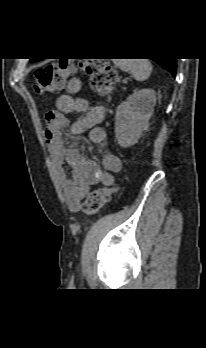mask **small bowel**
<instances>
[{
  "label": "small bowel",
  "instance_id": "small-bowel-1",
  "mask_svg": "<svg viewBox=\"0 0 206 348\" xmlns=\"http://www.w3.org/2000/svg\"><path fill=\"white\" fill-rule=\"evenodd\" d=\"M81 79H72L67 92L56 100V110L46 113L43 137L49 148L55 175L60 182L66 203L72 212H77L92 186L100 184L113 186L115 175L122 169L121 159L113 153L103 155L102 167L85 159L76 149L64 146L63 130L69 127L72 135L88 132L89 140L97 145L106 142L105 131L100 123L105 118V108L101 105L89 108L85 98L77 96L81 89ZM71 113H84L73 123L67 118ZM64 164L72 168V177L68 178Z\"/></svg>",
  "mask_w": 206,
  "mask_h": 348
}]
</instances>
